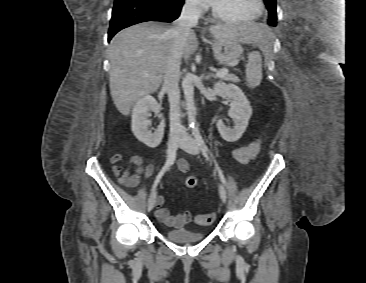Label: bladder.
Listing matches in <instances>:
<instances>
[{
  "mask_svg": "<svg viewBox=\"0 0 366 283\" xmlns=\"http://www.w3.org/2000/svg\"><path fill=\"white\" fill-rule=\"evenodd\" d=\"M164 235L167 239L176 243H193L204 239L206 237V232L188 229H176L165 230Z\"/></svg>",
  "mask_w": 366,
  "mask_h": 283,
  "instance_id": "1",
  "label": "bladder"
}]
</instances>
